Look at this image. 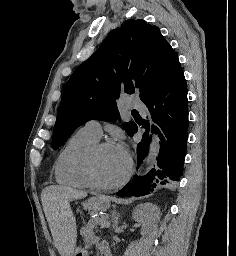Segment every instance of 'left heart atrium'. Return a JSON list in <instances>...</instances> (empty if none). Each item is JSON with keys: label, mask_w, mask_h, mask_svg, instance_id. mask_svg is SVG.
Here are the masks:
<instances>
[{"label": "left heart atrium", "mask_w": 236, "mask_h": 256, "mask_svg": "<svg viewBox=\"0 0 236 256\" xmlns=\"http://www.w3.org/2000/svg\"><path fill=\"white\" fill-rule=\"evenodd\" d=\"M114 148L122 156H124V157L128 156V148H127L126 144L122 140L118 139L117 142L114 145Z\"/></svg>", "instance_id": "1"}]
</instances>
